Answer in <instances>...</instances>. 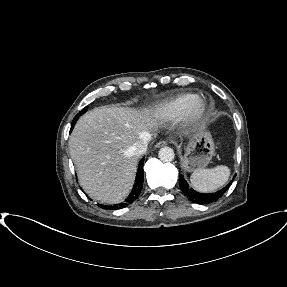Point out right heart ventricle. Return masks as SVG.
Listing matches in <instances>:
<instances>
[{
	"mask_svg": "<svg viewBox=\"0 0 287 287\" xmlns=\"http://www.w3.org/2000/svg\"><path fill=\"white\" fill-rule=\"evenodd\" d=\"M195 97L197 95L192 93L174 95L157 102L150 107L149 111L158 120L173 119L180 116Z\"/></svg>",
	"mask_w": 287,
	"mask_h": 287,
	"instance_id": "right-heart-ventricle-1",
	"label": "right heart ventricle"
}]
</instances>
